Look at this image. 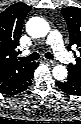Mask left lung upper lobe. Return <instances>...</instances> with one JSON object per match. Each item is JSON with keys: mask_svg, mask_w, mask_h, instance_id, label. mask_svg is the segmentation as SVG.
<instances>
[{"mask_svg": "<svg viewBox=\"0 0 81 124\" xmlns=\"http://www.w3.org/2000/svg\"><path fill=\"white\" fill-rule=\"evenodd\" d=\"M69 30V50L75 45L79 51L76 56V63L68 66V76H72L81 82V9L78 7H67L61 10Z\"/></svg>", "mask_w": 81, "mask_h": 124, "instance_id": "left-lung-upper-lobe-1", "label": "left lung upper lobe"}]
</instances>
